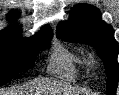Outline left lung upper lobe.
Returning <instances> with one entry per match:
<instances>
[{
  "label": "left lung upper lobe",
  "mask_w": 119,
  "mask_h": 95,
  "mask_svg": "<svg viewBox=\"0 0 119 95\" xmlns=\"http://www.w3.org/2000/svg\"><path fill=\"white\" fill-rule=\"evenodd\" d=\"M73 19L60 23L57 37L68 42H82L93 46L104 62L107 74V93L116 95L119 64L118 44L112 26L103 22L99 10L88 4H79L71 12Z\"/></svg>",
  "instance_id": "obj_1"
}]
</instances>
